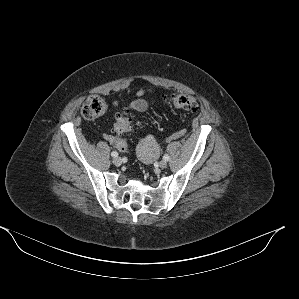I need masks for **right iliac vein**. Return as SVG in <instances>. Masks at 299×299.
I'll return each instance as SVG.
<instances>
[{
  "label": "right iliac vein",
  "mask_w": 299,
  "mask_h": 299,
  "mask_svg": "<svg viewBox=\"0 0 299 299\" xmlns=\"http://www.w3.org/2000/svg\"><path fill=\"white\" fill-rule=\"evenodd\" d=\"M121 163H122V160H121V158L120 157H114V159H113V164L114 165H116V166H119V165H121Z\"/></svg>",
  "instance_id": "1"
}]
</instances>
